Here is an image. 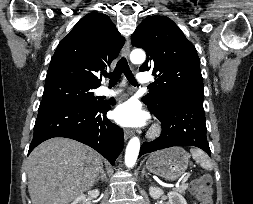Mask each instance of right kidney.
<instances>
[{"instance_id":"right-kidney-1","label":"right kidney","mask_w":253,"mask_h":204,"mask_svg":"<svg viewBox=\"0 0 253 204\" xmlns=\"http://www.w3.org/2000/svg\"><path fill=\"white\" fill-rule=\"evenodd\" d=\"M99 190L94 189L88 192V196L91 198H96L99 195ZM71 204H87V196L86 195H80L77 197Z\"/></svg>"}]
</instances>
